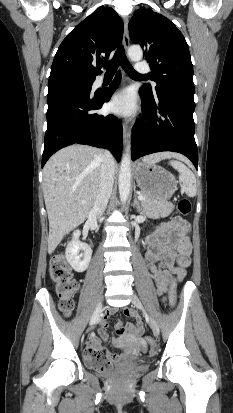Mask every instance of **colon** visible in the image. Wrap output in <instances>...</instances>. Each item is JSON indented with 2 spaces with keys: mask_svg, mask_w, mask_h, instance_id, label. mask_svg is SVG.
Returning a JSON list of instances; mask_svg holds the SVG:
<instances>
[{
  "mask_svg": "<svg viewBox=\"0 0 233 413\" xmlns=\"http://www.w3.org/2000/svg\"><path fill=\"white\" fill-rule=\"evenodd\" d=\"M191 209L192 205L188 199L183 198L179 200L177 211L181 216H187ZM49 273L59 297V307L65 314H69L74 308V296L78 289V284L62 255H56L51 259ZM169 299L170 304L175 306L177 297L174 283L170 286ZM145 343L149 346L153 345L152 339L149 337L145 339ZM87 360L91 366L97 369L107 370L110 368L111 357L106 350L93 354Z\"/></svg>",
  "mask_w": 233,
  "mask_h": 413,
  "instance_id": "obj_1",
  "label": "colon"
}]
</instances>
